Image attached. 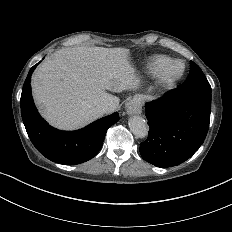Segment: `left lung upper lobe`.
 Returning <instances> with one entry per match:
<instances>
[{"instance_id": "obj_1", "label": "left lung upper lobe", "mask_w": 232, "mask_h": 232, "mask_svg": "<svg viewBox=\"0 0 232 232\" xmlns=\"http://www.w3.org/2000/svg\"><path fill=\"white\" fill-rule=\"evenodd\" d=\"M183 95L200 99L206 104H211V86L200 67L190 61V72L185 82L178 87Z\"/></svg>"}]
</instances>
